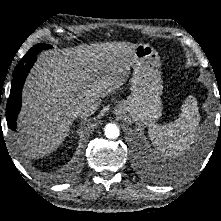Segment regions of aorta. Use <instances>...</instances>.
<instances>
[{
  "mask_svg": "<svg viewBox=\"0 0 221 221\" xmlns=\"http://www.w3.org/2000/svg\"><path fill=\"white\" fill-rule=\"evenodd\" d=\"M104 134L108 139H116L120 135L119 128L112 123L105 126Z\"/></svg>",
  "mask_w": 221,
  "mask_h": 221,
  "instance_id": "762f6f07",
  "label": "aorta"
}]
</instances>
